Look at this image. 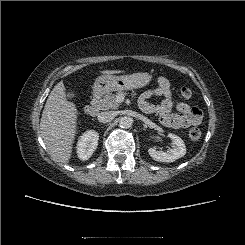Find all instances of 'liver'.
I'll return each mask as SVG.
<instances>
[{
	"label": "liver",
	"mask_w": 245,
	"mask_h": 245,
	"mask_svg": "<svg viewBox=\"0 0 245 245\" xmlns=\"http://www.w3.org/2000/svg\"><path fill=\"white\" fill-rule=\"evenodd\" d=\"M105 75L124 72L123 70H104ZM63 81L57 83L50 92L40 121L41 136L54 161L67 164L71 158L77 134L76 105L66 98Z\"/></svg>",
	"instance_id": "1"
}]
</instances>
